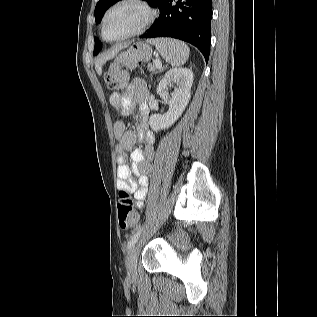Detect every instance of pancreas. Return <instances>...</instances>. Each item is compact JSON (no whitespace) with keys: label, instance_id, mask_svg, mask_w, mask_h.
Returning <instances> with one entry per match:
<instances>
[{"label":"pancreas","instance_id":"obj_1","mask_svg":"<svg viewBox=\"0 0 317 317\" xmlns=\"http://www.w3.org/2000/svg\"><path fill=\"white\" fill-rule=\"evenodd\" d=\"M147 68L149 71H152V72H155V70L157 69L156 65L152 63L148 64Z\"/></svg>","mask_w":317,"mask_h":317}]
</instances>
